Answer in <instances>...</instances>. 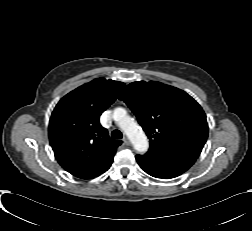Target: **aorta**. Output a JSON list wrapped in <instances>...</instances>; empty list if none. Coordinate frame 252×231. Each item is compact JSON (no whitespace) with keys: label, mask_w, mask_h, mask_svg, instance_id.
I'll use <instances>...</instances> for the list:
<instances>
[{"label":"aorta","mask_w":252,"mask_h":231,"mask_svg":"<svg viewBox=\"0 0 252 231\" xmlns=\"http://www.w3.org/2000/svg\"><path fill=\"white\" fill-rule=\"evenodd\" d=\"M113 118L119 122L120 128L130 139L134 149L139 153H145L149 148L148 139L137 122L127 116L126 110L123 108H116L113 113Z\"/></svg>","instance_id":"1"}]
</instances>
